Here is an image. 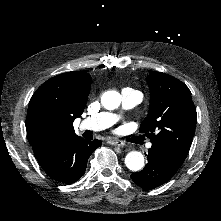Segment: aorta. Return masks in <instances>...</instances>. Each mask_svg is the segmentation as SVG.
I'll use <instances>...</instances> for the list:
<instances>
[{
    "instance_id": "1",
    "label": "aorta",
    "mask_w": 221,
    "mask_h": 221,
    "mask_svg": "<svg viewBox=\"0 0 221 221\" xmlns=\"http://www.w3.org/2000/svg\"><path fill=\"white\" fill-rule=\"evenodd\" d=\"M101 102L104 108L113 110L119 107L121 96L118 92L106 93L102 96ZM125 165L131 171H139L144 166V156L141 152L131 151L125 157Z\"/></svg>"
}]
</instances>
